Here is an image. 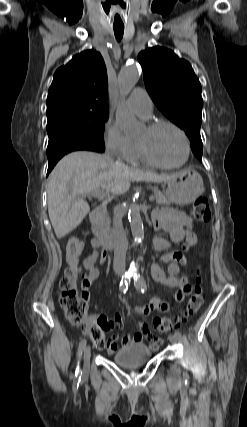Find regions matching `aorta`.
Returning a JSON list of instances; mask_svg holds the SVG:
<instances>
[{
  "label": "aorta",
  "instance_id": "1",
  "mask_svg": "<svg viewBox=\"0 0 247 427\" xmlns=\"http://www.w3.org/2000/svg\"><path fill=\"white\" fill-rule=\"evenodd\" d=\"M138 79L139 70L136 64L133 63L124 66L118 74L119 94L123 97L127 96L136 85ZM116 122L126 136H136L140 132V124L125 106L118 108ZM128 219L133 237L135 239H142L144 236L143 221L140 217V210L135 204L129 207Z\"/></svg>",
  "mask_w": 247,
  "mask_h": 427
}]
</instances>
